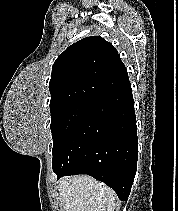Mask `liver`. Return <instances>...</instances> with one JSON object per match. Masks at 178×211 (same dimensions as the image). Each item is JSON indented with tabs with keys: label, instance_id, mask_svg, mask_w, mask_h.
Instances as JSON below:
<instances>
[{
	"label": "liver",
	"instance_id": "1",
	"mask_svg": "<svg viewBox=\"0 0 178 211\" xmlns=\"http://www.w3.org/2000/svg\"><path fill=\"white\" fill-rule=\"evenodd\" d=\"M63 211H114V191L92 177L79 175L58 181Z\"/></svg>",
	"mask_w": 178,
	"mask_h": 211
}]
</instances>
